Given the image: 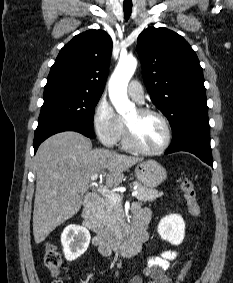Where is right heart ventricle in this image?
Here are the masks:
<instances>
[{"mask_svg": "<svg viewBox=\"0 0 233 283\" xmlns=\"http://www.w3.org/2000/svg\"><path fill=\"white\" fill-rule=\"evenodd\" d=\"M121 136H122V140H121V141H122L123 147L129 148V145H128L127 141H126V136H125V129H124V127H123V131H122ZM121 136H120V137H121Z\"/></svg>", "mask_w": 233, "mask_h": 283, "instance_id": "right-heart-ventricle-1", "label": "right heart ventricle"}]
</instances>
